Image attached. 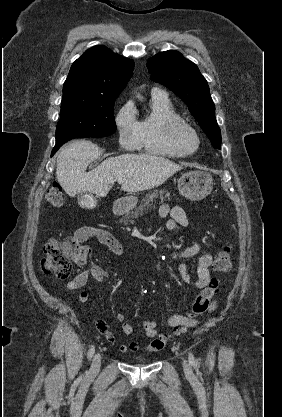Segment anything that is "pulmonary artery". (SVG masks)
<instances>
[{"label":"pulmonary artery","instance_id":"obj_1","mask_svg":"<svg viewBox=\"0 0 282 417\" xmlns=\"http://www.w3.org/2000/svg\"><path fill=\"white\" fill-rule=\"evenodd\" d=\"M152 96H161V97H167V93L164 90H161L159 88H153L151 91Z\"/></svg>","mask_w":282,"mask_h":417}]
</instances>
